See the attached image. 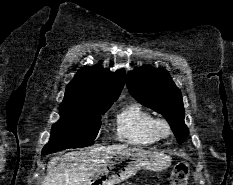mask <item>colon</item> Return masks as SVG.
<instances>
[{"label": "colon", "mask_w": 233, "mask_h": 185, "mask_svg": "<svg viewBox=\"0 0 233 185\" xmlns=\"http://www.w3.org/2000/svg\"><path fill=\"white\" fill-rule=\"evenodd\" d=\"M190 167L188 162H177L170 174V185H187Z\"/></svg>", "instance_id": "colon-1"}]
</instances>
